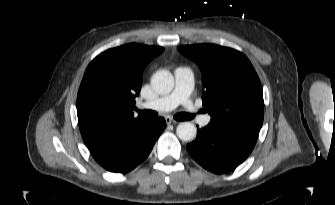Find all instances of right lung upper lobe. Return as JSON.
<instances>
[{"label": "right lung upper lobe", "mask_w": 335, "mask_h": 205, "mask_svg": "<svg viewBox=\"0 0 335 205\" xmlns=\"http://www.w3.org/2000/svg\"><path fill=\"white\" fill-rule=\"evenodd\" d=\"M163 51L130 43L101 53L88 65L77 95V115L91 152L126 144L152 124L134 117L133 108L145 66Z\"/></svg>", "instance_id": "right-lung-upper-lobe-1"}]
</instances>
